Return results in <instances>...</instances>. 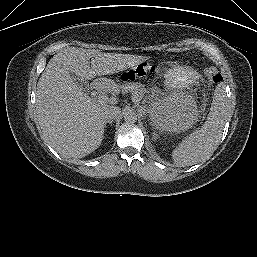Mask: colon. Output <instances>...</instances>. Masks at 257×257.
Returning a JSON list of instances; mask_svg holds the SVG:
<instances>
[{"instance_id":"5ec220e1","label":"colon","mask_w":257,"mask_h":257,"mask_svg":"<svg viewBox=\"0 0 257 257\" xmlns=\"http://www.w3.org/2000/svg\"><path fill=\"white\" fill-rule=\"evenodd\" d=\"M154 70L155 68L151 63H141L123 72L121 77L125 81H133L146 77L147 75L153 73ZM205 76L212 83H220L222 81L221 74L214 67L206 68Z\"/></svg>"}]
</instances>
